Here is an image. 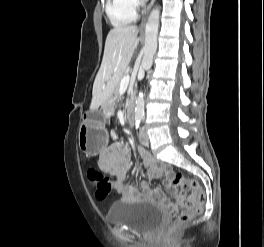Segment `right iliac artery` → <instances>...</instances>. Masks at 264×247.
<instances>
[{"instance_id": "82829eb1", "label": "right iliac artery", "mask_w": 264, "mask_h": 247, "mask_svg": "<svg viewBox=\"0 0 264 247\" xmlns=\"http://www.w3.org/2000/svg\"><path fill=\"white\" fill-rule=\"evenodd\" d=\"M139 125H140V121H136V123H135V127H136V129L139 128Z\"/></svg>"}]
</instances>
